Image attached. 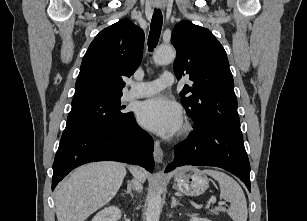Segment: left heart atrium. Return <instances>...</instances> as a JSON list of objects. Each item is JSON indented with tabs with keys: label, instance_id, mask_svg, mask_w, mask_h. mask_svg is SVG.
Segmentation results:
<instances>
[{
	"label": "left heart atrium",
	"instance_id": "left-heart-atrium-1",
	"mask_svg": "<svg viewBox=\"0 0 307 221\" xmlns=\"http://www.w3.org/2000/svg\"><path fill=\"white\" fill-rule=\"evenodd\" d=\"M137 118L144 128L162 136L177 133L183 122L180 107L163 96L142 102L137 111Z\"/></svg>",
	"mask_w": 307,
	"mask_h": 221
}]
</instances>
